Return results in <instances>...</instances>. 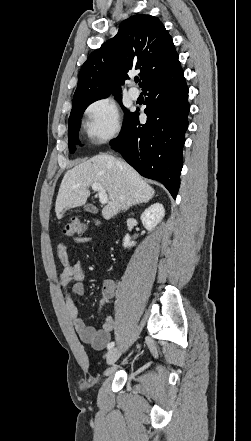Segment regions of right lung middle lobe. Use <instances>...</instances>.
<instances>
[{
    "mask_svg": "<svg viewBox=\"0 0 251 441\" xmlns=\"http://www.w3.org/2000/svg\"><path fill=\"white\" fill-rule=\"evenodd\" d=\"M119 103H121V96H116L115 97ZM102 98H92V97H86V98H82L79 100H74L73 101V106H72V110L70 113V118H69V135H68V141H69V151L71 153H73L75 151V145L77 143H79V139H78V133H79V129L81 126V118L82 115L85 111V109L94 101L99 100ZM124 112H125V118H124V122L129 118L130 114L125 108Z\"/></svg>",
    "mask_w": 251,
    "mask_h": 441,
    "instance_id": "obj_1",
    "label": "right lung middle lobe"
}]
</instances>
